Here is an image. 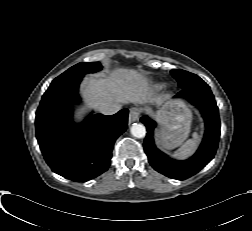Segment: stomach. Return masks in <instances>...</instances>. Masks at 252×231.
Returning <instances> with one entry per match:
<instances>
[{
  "label": "stomach",
  "mask_w": 252,
  "mask_h": 231,
  "mask_svg": "<svg viewBox=\"0 0 252 231\" xmlns=\"http://www.w3.org/2000/svg\"><path fill=\"white\" fill-rule=\"evenodd\" d=\"M161 125L159 142L167 149L181 145L188 137L191 127V111L181 102L166 105L157 114Z\"/></svg>",
  "instance_id": "stomach-1"
}]
</instances>
